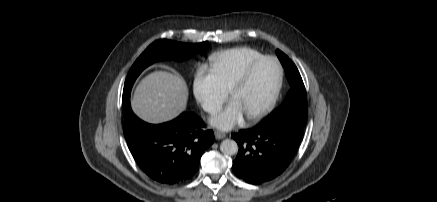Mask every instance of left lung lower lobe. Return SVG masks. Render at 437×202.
I'll return each instance as SVG.
<instances>
[{"label": "left lung lower lobe", "instance_id": "left-lung-lower-lobe-1", "mask_svg": "<svg viewBox=\"0 0 437 202\" xmlns=\"http://www.w3.org/2000/svg\"><path fill=\"white\" fill-rule=\"evenodd\" d=\"M303 127L280 119L233 134L239 146L232 165L234 174L250 184H261L280 175L300 144Z\"/></svg>", "mask_w": 437, "mask_h": 202}]
</instances>
